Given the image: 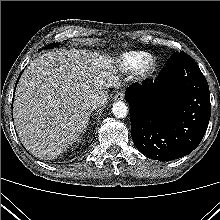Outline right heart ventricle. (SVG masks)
I'll return each instance as SVG.
<instances>
[{"instance_id": "e07e8e85", "label": "right heart ventricle", "mask_w": 220, "mask_h": 220, "mask_svg": "<svg viewBox=\"0 0 220 220\" xmlns=\"http://www.w3.org/2000/svg\"><path fill=\"white\" fill-rule=\"evenodd\" d=\"M146 55L143 51L126 52L119 58L118 65L123 71L134 70Z\"/></svg>"}]
</instances>
